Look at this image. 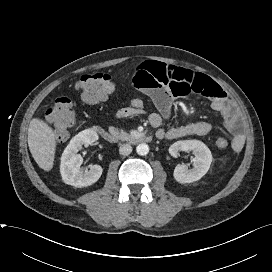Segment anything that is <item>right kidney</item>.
<instances>
[{
	"label": "right kidney",
	"instance_id": "ca27d5eb",
	"mask_svg": "<svg viewBox=\"0 0 272 272\" xmlns=\"http://www.w3.org/2000/svg\"><path fill=\"white\" fill-rule=\"evenodd\" d=\"M96 140L98 135L92 129L83 130L71 139L61 156L60 164L62 180L66 184L82 188L94 184L101 177L103 169L100 165H90L89 170L83 172L80 169L83 158L77 154L83 145L89 146Z\"/></svg>",
	"mask_w": 272,
	"mask_h": 272
}]
</instances>
